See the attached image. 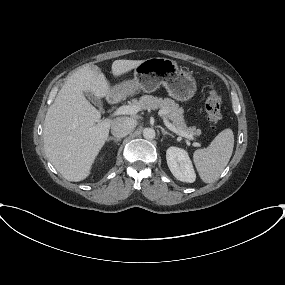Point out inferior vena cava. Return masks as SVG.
<instances>
[{
    "mask_svg": "<svg viewBox=\"0 0 285 285\" xmlns=\"http://www.w3.org/2000/svg\"><path fill=\"white\" fill-rule=\"evenodd\" d=\"M135 124L131 118L118 117L111 125V133L116 138H122L127 136L134 128Z\"/></svg>",
    "mask_w": 285,
    "mask_h": 285,
    "instance_id": "602c4592",
    "label": "inferior vena cava"
}]
</instances>
